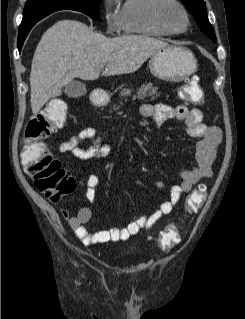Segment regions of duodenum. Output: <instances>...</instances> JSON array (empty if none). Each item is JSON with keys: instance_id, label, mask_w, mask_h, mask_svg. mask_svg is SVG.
<instances>
[{"instance_id": "1", "label": "duodenum", "mask_w": 245, "mask_h": 319, "mask_svg": "<svg viewBox=\"0 0 245 319\" xmlns=\"http://www.w3.org/2000/svg\"><path fill=\"white\" fill-rule=\"evenodd\" d=\"M91 101L95 106H101L103 104V94L100 91H94L91 95Z\"/></svg>"}]
</instances>
